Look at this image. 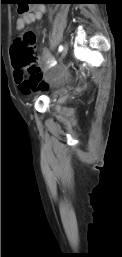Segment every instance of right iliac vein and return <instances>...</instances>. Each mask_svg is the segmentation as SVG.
I'll use <instances>...</instances> for the list:
<instances>
[{
  "mask_svg": "<svg viewBox=\"0 0 122 257\" xmlns=\"http://www.w3.org/2000/svg\"><path fill=\"white\" fill-rule=\"evenodd\" d=\"M68 51V45L66 44L62 50L61 58H64Z\"/></svg>",
  "mask_w": 122,
  "mask_h": 257,
  "instance_id": "obj_1",
  "label": "right iliac vein"
}]
</instances>
